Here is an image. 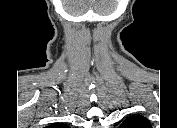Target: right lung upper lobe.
<instances>
[{
  "label": "right lung upper lobe",
  "mask_w": 177,
  "mask_h": 128,
  "mask_svg": "<svg viewBox=\"0 0 177 128\" xmlns=\"http://www.w3.org/2000/svg\"><path fill=\"white\" fill-rule=\"evenodd\" d=\"M50 128H66L67 125L65 124H60V123H55L49 126Z\"/></svg>",
  "instance_id": "right-lung-upper-lobe-1"
}]
</instances>
